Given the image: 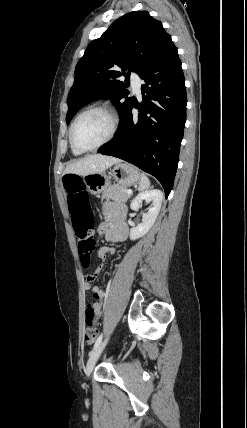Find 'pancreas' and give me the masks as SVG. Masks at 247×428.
I'll return each mask as SVG.
<instances>
[{
	"label": "pancreas",
	"mask_w": 247,
	"mask_h": 428,
	"mask_svg": "<svg viewBox=\"0 0 247 428\" xmlns=\"http://www.w3.org/2000/svg\"><path fill=\"white\" fill-rule=\"evenodd\" d=\"M127 187L119 184H114L106 188L102 194V199H111L115 202H126L130 195L126 193Z\"/></svg>",
	"instance_id": "cf45deb5"
}]
</instances>
